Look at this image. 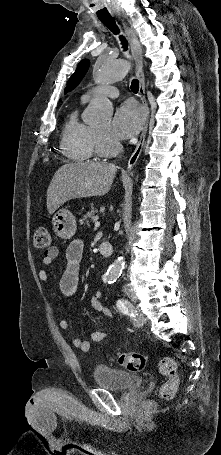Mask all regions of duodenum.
Returning <instances> with one entry per match:
<instances>
[{
  "label": "duodenum",
  "mask_w": 221,
  "mask_h": 455,
  "mask_svg": "<svg viewBox=\"0 0 221 455\" xmlns=\"http://www.w3.org/2000/svg\"><path fill=\"white\" fill-rule=\"evenodd\" d=\"M98 250H99V253L105 257H110L113 252L112 245L108 242L100 243Z\"/></svg>",
  "instance_id": "obj_1"
}]
</instances>
